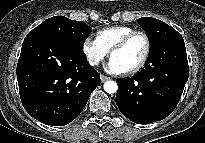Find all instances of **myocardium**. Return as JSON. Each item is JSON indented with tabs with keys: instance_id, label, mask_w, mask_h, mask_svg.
Segmentation results:
<instances>
[{
	"instance_id": "f54148a6",
	"label": "myocardium",
	"mask_w": 205,
	"mask_h": 143,
	"mask_svg": "<svg viewBox=\"0 0 205 143\" xmlns=\"http://www.w3.org/2000/svg\"><path fill=\"white\" fill-rule=\"evenodd\" d=\"M136 36L143 37V39L145 41V52H144L142 59L135 66L126 70V73H128V74H133V73L140 71L146 65V63L148 61L150 53H151V40H150L148 34L142 30H135V31L127 34L126 36H124L110 50V57H112V55L115 52L120 51L123 48H125L129 44V42L133 38H135Z\"/></svg>"
}]
</instances>
